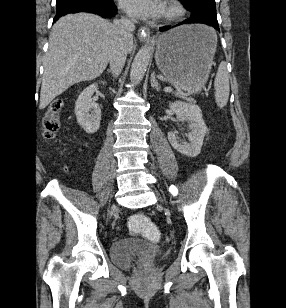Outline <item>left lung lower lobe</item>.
I'll use <instances>...</instances> for the list:
<instances>
[{
	"instance_id": "0a47b994",
	"label": "left lung lower lobe",
	"mask_w": 286,
	"mask_h": 308,
	"mask_svg": "<svg viewBox=\"0 0 286 308\" xmlns=\"http://www.w3.org/2000/svg\"><path fill=\"white\" fill-rule=\"evenodd\" d=\"M191 11L190 18L178 23L176 26L182 25V24H207L210 26H213L215 29L219 30L217 16H216V6L213 5H199L195 6ZM172 27H162L160 28V31H166Z\"/></svg>"
}]
</instances>
